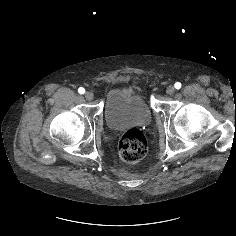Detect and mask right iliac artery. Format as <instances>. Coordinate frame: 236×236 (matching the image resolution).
I'll return each mask as SVG.
<instances>
[{
    "instance_id": "1",
    "label": "right iliac artery",
    "mask_w": 236,
    "mask_h": 236,
    "mask_svg": "<svg viewBox=\"0 0 236 236\" xmlns=\"http://www.w3.org/2000/svg\"><path fill=\"white\" fill-rule=\"evenodd\" d=\"M78 92H79L80 94H84V93H85V89H84L83 87H80V88L78 89Z\"/></svg>"
}]
</instances>
